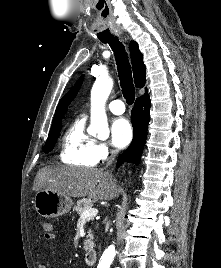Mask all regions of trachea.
Returning a JSON list of instances; mask_svg holds the SVG:
<instances>
[{"label":"trachea","mask_w":221,"mask_h":268,"mask_svg":"<svg viewBox=\"0 0 221 268\" xmlns=\"http://www.w3.org/2000/svg\"><path fill=\"white\" fill-rule=\"evenodd\" d=\"M102 42L108 43L114 52L122 93L126 102L131 105L135 99V88L131 66L124 45L117 37L102 40Z\"/></svg>","instance_id":"3493384b"}]
</instances>
